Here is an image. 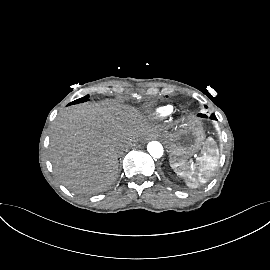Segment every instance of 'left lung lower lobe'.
Returning <instances> with one entry per match:
<instances>
[{"label": "left lung lower lobe", "instance_id": "1", "mask_svg": "<svg viewBox=\"0 0 270 270\" xmlns=\"http://www.w3.org/2000/svg\"><path fill=\"white\" fill-rule=\"evenodd\" d=\"M200 117H207L206 115L204 114H199ZM211 119H214V120H217L216 119V116L214 114L211 115Z\"/></svg>", "mask_w": 270, "mask_h": 270}]
</instances>
